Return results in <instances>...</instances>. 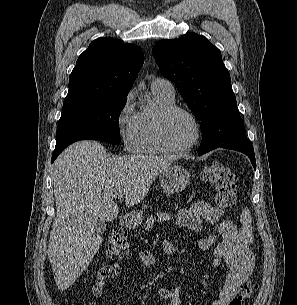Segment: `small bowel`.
I'll return each mask as SVG.
<instances>
[{
  "instance_id": "small-bowel-1",
  "label": "small bowel",
  "mask_w": 297,
  "mask_h": 305,
  "mask_svg": "<svg viewBox=\"0 0 297 305\" xmlns=\"http://www.w3.org/2000/svg\"><path fill=\"white\" fill-rule=\"evenodd\" d=\"M176 223L181 229L195 232L202 231L204 224L216 226L217 233L199 240L196 248L210 253L211 264L214 268L220 267L223 263L228 267L224 283L212 305H230L237 290L252 274L254 266L253 254L238 232L237 226L230 220L222 219L220 212L205 202H196L189 207L179 209L176 212ZM218 237H220L219 241ZM162 249L166 254L187 251V248L167 240L162 242ZM138 260L146 267L154 263L153 255L148 251L139 252ZM119 274L117 265L102 269L92 287L93 296L96 299L101 298L105 291L106 280L116 278ZM157 292L162 299L168 301V305H182L183 290L180 286L170 289L162 287ZM96 299L88 305H99Z\"/></svg>"
}]
</instances>
